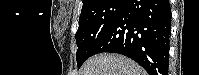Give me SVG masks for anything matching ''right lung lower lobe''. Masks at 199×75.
<instances>
[{"label":"right lung lower lobe","mask_w":199,"mask_h":75,"mask_svg":"<svg viewBox=\"0 0 199 75\" xmlns=\"http://www.w3.org/2000/svg\"><path fill=\"white\" fill-rule=\"evenodd\" d=\"M171 8L169 0H127L94 53L125 55L149 75H168Z\"/></svg>","instance_id":"98d812e1"}]
</instances>
